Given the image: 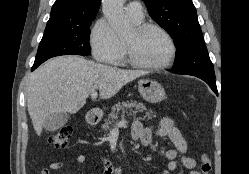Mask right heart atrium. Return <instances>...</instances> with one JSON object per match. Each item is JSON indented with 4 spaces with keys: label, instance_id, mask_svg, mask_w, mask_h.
<instances>
[{
    "label": "right heart atrium",
    "instance_id": "1",
    "mask_svg": "<svg viewBox=\"0 0 249 174\" xmlns=\"http://www.w3.org/2000/svg\"><path fill=\"white\" fill-rule=\"evenodd\" d=\"M90 46L94 58L102 63L114 64L124 53L121 40L103 17L98 19L91 29Z\"/></svg>",
    "mask_w": 249,
    "mask_h": 174
}]
</instances>
